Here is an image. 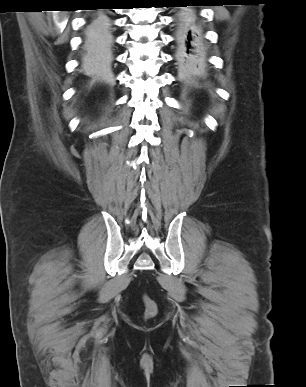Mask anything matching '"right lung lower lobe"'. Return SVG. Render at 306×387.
<instances>
[{
    "label": "right lung lower lobe",
    "mask_w": 306,
    "mask_h": 387,
    "mask_svg": "<svg viewBox=\"0 0 306 387\" xmlns=\"http://www.w3.org/2000/svg\"><path fill=\"white\" fill-rule=\"evenodd\" d=\"M110 28V20L102 12L89 19L83 53V61L86 64H97L107 60L112 44Z\"/></svg>",
    "instance_id": "1"
}]
</instances>
